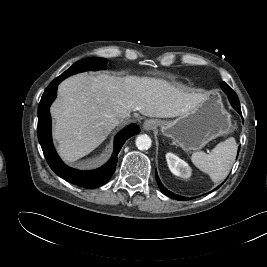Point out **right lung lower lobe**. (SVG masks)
I'll return each instance as SVG.
<instances>
[{
    "label": "right lung lower lobe",
    "mask_w": 267,
    "mask_h": 267,
    "mask_svg": "<svg viewBox=\"0 0 267 267\" xmlns=\"http://www.w3.org/2000/svg\"><path fill=\"white\" fill-rule=\"evenodd\" d=\"M62 80L54 79L44 91L38 107V139L51 169L64 180L88 189L97 188L108 182L117 165V155L131 136L138 134L140 128L131 124L119 132L114 141V152L110 160L102 167L91 171H80L66 166L58 157L51 139V117L49 107L54 101L57 86Z\"/></svg>",
    "instance_id": "right-lung-lower-lobe-1"
}]
</instances>
